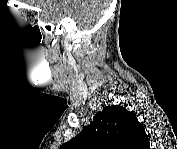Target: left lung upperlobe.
Masks as SVG:
<instances>
[{"mask_svg": "<svg viewBox=\"0 0 177 149\" xmlns=\"http://www.w3.org/2000/svg\"><path fill=\"white\" fill-rule=\"evenodd\" d=\"M144 136L147 134L136 115L113 105L96 113L91 124L60 149H142Z\"/></svg>", "mask_w": 177, "mask_h": 149, "instance_id": "5c2ea615", "label": "left lung upper lobe"}]
</instances>
